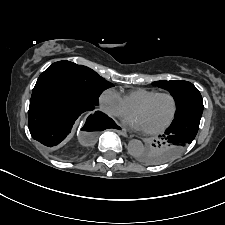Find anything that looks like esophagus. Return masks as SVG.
<instances>
[{"instance_id":"obj_1","label":"esophagus","mask_w":225,"mask_h":225,"mask_svg":"<svg viewBox=\"0 0 225 225\" xmlns=\"http://www.w3.org/2000/svg\"><path fill=\"white\" fill-rule=\"evenodd\" d=\"M116 132L122 136H127V131L124 127L121 125H118V128L116 129Z\"/></svg>"}]
</instances>
